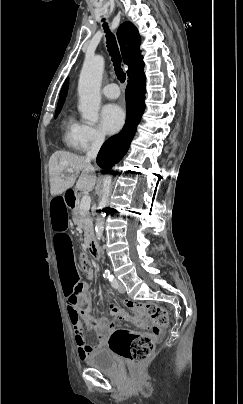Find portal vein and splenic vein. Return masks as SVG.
<instances>
[{
  "label": "portal vein and splenic vein",
  "instance_id": "obj_1",
  "mask_svg": "<svg viewBox=\"0 0 243 404\" xmlns=\"http://www.w3.org/2000/svg\"><path fill=\"white\" fill-rule=\"evenodd\" d=\"M67 172H73V170H67ZM90 204L91 198L90 196H87V194H85L80 202V210H82V216L87 217L89 215Z\"/></svg>",
  "mask_w": 243,
  "mask_h": 404
}]
</instances>
